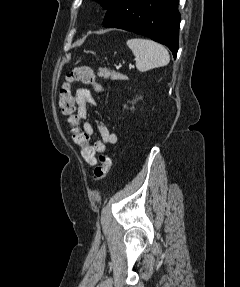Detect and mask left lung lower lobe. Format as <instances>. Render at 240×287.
I'll return each instance as SVG.
<instances>
[{"label": "left lung lower lobe", "instance_id": "left-lung-lower-lobe-1", "mask_svg": "<svg viewBox=\"0 0 240 287\" xmlns=\"http://www.w3.org/2000/svg\"><path fill=\"white\" fill-rule=\"evenodd\" d=\"M178 0H111L104 27L120 28L166 45L176 58L180 13Z\"/></svg>", "mask_w": 240, "mask_h": 287}]
</instances>
